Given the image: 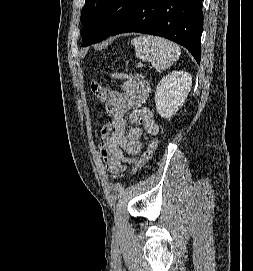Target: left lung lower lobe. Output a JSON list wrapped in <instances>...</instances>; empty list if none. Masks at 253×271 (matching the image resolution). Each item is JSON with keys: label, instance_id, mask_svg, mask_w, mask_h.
Instances as JSON below:
<instances>
[{"label": "left lung lower lobe", "instance_id": "0a47b994", "mask_svg": "<svg viewBox=\"0 0 253 271\" xmlns=\"http://www.w3.org/2000/svg\"><path fill=\"white\" fill-rule=\"evenodd\" d=\"M202 0H133L123 22L110 35L139 32L162 36L186 47L200 63Z\"/></svg>", "mask_w": 253, "mask_h": 271}]
</instances>
